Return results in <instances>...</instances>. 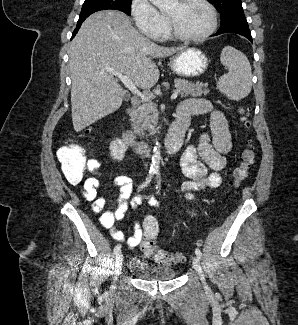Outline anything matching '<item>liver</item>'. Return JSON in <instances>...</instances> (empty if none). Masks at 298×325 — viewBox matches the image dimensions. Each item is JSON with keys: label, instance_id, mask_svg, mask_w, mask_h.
<instances>
[{"label": "liver", "instance_id": "1", "mask_svg": "<svg viewBox=\"0 0 298 325\" xmlns=\"http://www.w3.org/2000/svg\"><path fill=\"white\" fill-rule=\"evenodd\" d=\"M187 46H160L135 30L120 10H98L84 20L69 50L74 130L120 108L124 90L113 72L127 74L139 88H152L160 72L153 58H166Z\"/></svg>", "mask_w": 298, "mask_h": 325}]
</instances>
